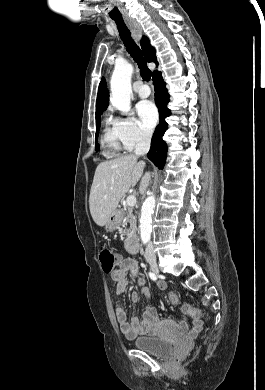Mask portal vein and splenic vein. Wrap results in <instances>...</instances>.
<instances>
[{
	"label": "portal vein and splenic vein",
	"mask_w": 265,
	"mask_h": 390,
	"mask_svg": "<svg viewBox=\"0 0 265 390\" xmlns=\"http://www.w3.org/2000/svg\"><path fill=\"white\" fill-rule=\"evenodd\" d=\"M126 204L129 207H133L136 205V197L134 195H130L126 199Z\"/></svg>",
	"instance_id": "obj_1"
}]
</instances>
